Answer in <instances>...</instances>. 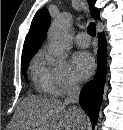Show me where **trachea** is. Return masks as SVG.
<instances>
[{
	"label": "trachea",
	"mask_w": 123,
	"mask_h": 130,
	"mask_svg": "<svg viewBox=\"0 0 123 130\" xmlns=\"http://www.w3.org/2000/svg\"><path fill=\"white\" fill-rule=\"evenodd\" d=\"M87 32L92 37H94L96 35V27L93 23H90L88 25Z\"/></svg>",
	"instance_id": "3493384b"
}]
</instances>
